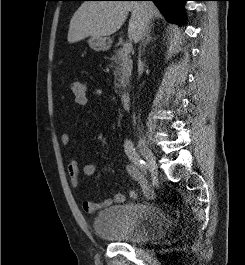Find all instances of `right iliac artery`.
<instances>
[{
  "mask_svg": "<svg viewBox=\"0 0 245 265\" xmlns=\"http://www.w3.org/2000/svg\"><path fill=\"white\" fill-rule=\"evenodd\" d=\"M125 153L128 158L140 168L143 172L147 173V164L143 159L140 158L139 154L136 152L134 145L131 140H126L124 143Z\"/></svg>",
  "mask_w": 245,
  "mask_h": 265,
  "instance_id": "obj_1",
  "label": "right iliac artery"
}]
</instances>
